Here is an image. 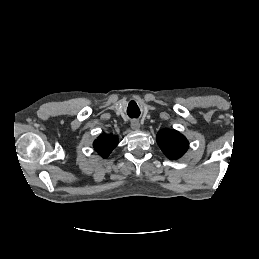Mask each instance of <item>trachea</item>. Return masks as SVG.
I'll return each instance as SVG.
<instances>
[{
    "instance_id": "1",
    "label": "trachea",
    "mask_w": 259,
    "mask_h": 259,
    "mask_svg": "<svg viewBox=\"0 0 259 259\" xmlns=\"http://www.w3.org/2000/svg\"><path fill=\"white\" fill-rule=\"evenodd\" d=\"M139 115L130 116L131 118H138Z\"/></svg>"
}]
</instances>
